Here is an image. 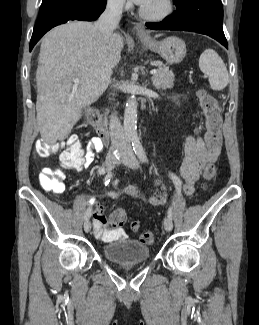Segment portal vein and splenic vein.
<instances>
[{
  "label": "portal vein and splenic vein",
  "instance_id": "obj_1",
  "mask_svg": "<svg viewBox=\"0 0 259 325\" xmlns=\"http://www.w3.org/2000/svg\"><path fill=\"white\" fill-rule=\"evenodd\" d=\"M157 73V70L156 69H152L151 71H150V74L151 75H154V74H156ZM80 82V80L78 79V78H76V79H74V83H79Z\"/></svg>",
  "mask_w": 259,
  "mask_h": 325
}]
</instances>
